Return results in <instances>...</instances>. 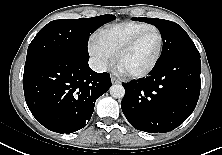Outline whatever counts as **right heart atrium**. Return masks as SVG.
<instances>
[{
	"label": "right heart atrium",
	"instance_id": "d8ad5b80",
	"mask_svg": "<svg viewBox=\"0 0 222 155\" xmlns=\"http://www.w3.org/2000/svg\"><path fill=\"white\" fill-rule=\"evenodd\" d=\"M88 51L94 68L104 71L112 62L114 54L102 43L97 35H93L88 42Z\"/></svg>",
	"mask_w": 222,
	"mask_h": 155
}]
</instances>
